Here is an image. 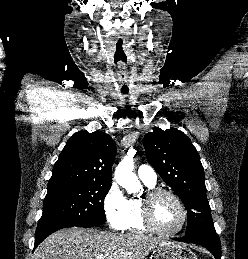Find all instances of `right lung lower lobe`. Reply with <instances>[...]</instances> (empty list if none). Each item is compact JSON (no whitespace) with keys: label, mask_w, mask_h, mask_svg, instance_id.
I'll return each instance as SVG.
<instances>
[{"label":"right lung lower lobe","mask_w":248,"mask_h":259,"mask_svg":"<svg viewBox=\"0 0 248 259\" xmlns=\"http://www.w3.org/2000/svg\"><path fill=\"white\" fill-rule=\"evenodd\" d=\"M74 225L65 224V223H54V224H48L41 227H37L36 230V237H35V244L34 249L51 233L67 228V227H73Z\"/></svg>","instance_id":"98d812e1"}]
</instances>
